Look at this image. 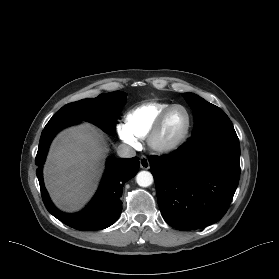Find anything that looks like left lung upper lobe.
<instances>
[{
    "label": "left lung upper lobe",
    "mask_w": 279,
    "mask_h": 279,
    "mask_svg": "<svg viewBox=\"0 0 279 279\" xmlns=\"http://www.w3.org/2000/svg\"><path fill=\"white\" fill-rule=\"evenodd\" d=\"M183 96L193 110L192 135L214 129H234L228 116L219 107L192 93H185Z\"/></svg>",
    "instance_id": "obj_1"
}]
</instances>
